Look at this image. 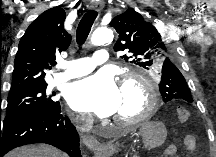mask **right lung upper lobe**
I'll return each mask as SVG.
<instances>
[{
    "mask_svg": "<svg viewBox=\"0 0 216 157\" xmlns=\"http://www.w3.org/2000/svg\"><path fill=\"white\" fill-rule=\"evenodd\" d=\"M65 16L63 8L53 7L29 25L18 46L10 92L47 85L44 70L56 64L55 53L65 51L71 42Z\"/></svg>",
    "mask_w": 216,
    "mask_h": 157,
    "instance_id": "1",
    "label": "right lung upper lobe"
}]
</instances>
